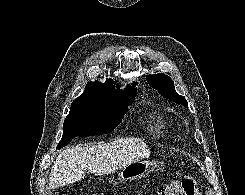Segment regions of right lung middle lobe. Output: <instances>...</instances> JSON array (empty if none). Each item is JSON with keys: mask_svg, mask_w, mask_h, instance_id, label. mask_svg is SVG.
I'll return each instance as SVG.
<instances>
[{"mask_svg": "<svg viewBox=\"0 0 245 195\" xmlns=\"http://www.w3.org/2000/svg\"><path fill=\"white\" fill-rule=\"evenodd\" d=\"M126 102L77 98L63 124V136L57 149L67 145L74 137L111 133L121 122L128 106Z\"/></svg>", "mask_w": 245, "mask_h": 195, "instance_id": "obj_1", "label": "right lung middle lobe"}]
</instances>
